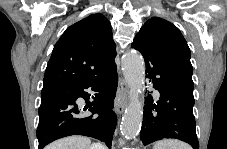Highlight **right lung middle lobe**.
Listing matches in <instances>:
<instances>
[{"label": "right lung middle lobe", "mask_w": 227, "mask_h": 149, "mask_svg": "<svg viewBox=\"0 0 227 149\" xmlns=\"http://www.w3.org/2000/svg\"><path fill=\"white\" fill-rule=\"evenodd\" d=\"M67 87H54L42 89L41 91V104L47 102L49 99L54 97L55 95L66 91Z\"/></svg>", "instance_id": "dd1d6c3e"}]
</instances>
